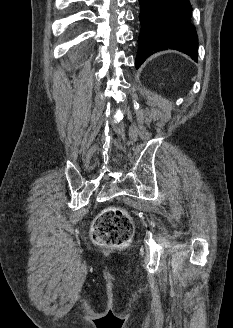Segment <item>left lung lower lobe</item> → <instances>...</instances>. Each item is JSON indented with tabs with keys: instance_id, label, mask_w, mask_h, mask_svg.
I'll return each instance as SVG.
<instances>
[{
	"instance_id": "0a47b994",
	"label": "left lung lower lobe",
	"mask_w": 233,
	"mask_h": 328,
	"mask_svg": "<svg viewBox=\"0 0 233 328\" xmlns=\"http://www.w3.org/2000/svg\"><path fill=\"white\" fill-rule=\"evenodd\" d=\"M141 32L136 68L161 50L175 49L197 61L198 39L189 0H139Z\"/></svg>"
}]
</instances>
